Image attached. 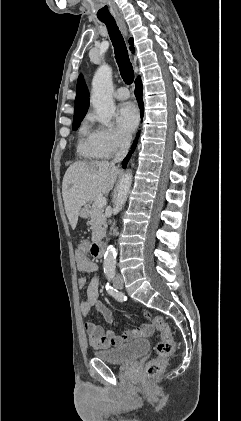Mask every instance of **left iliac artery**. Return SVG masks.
Here are the masks:
<instances>
[{
  "mask_svg": "<svg viewBox=\"0 0 241 421\" xmlns=\"http://www.w3.org/2000/svg\"><path fill=\"white\" fill-rule=\"evenodd\" d=\"M106 275H107V277H108V279H109V280H110V279H113V277H114V275H115V271H114V269L107 270V271H106Z\"/></svg>",
  "mask_w": 241,
  "mask_h": 421,
  "instance_id": "44dca946",
  "label": "left iliac artery"
}]
</instances>
